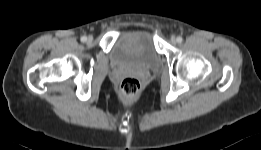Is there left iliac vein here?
Instances as JSON below:
<instances>
[{
	"instance_id": "obj_1",
	"label": "left iliac vein",
	"mask_w": 261,
	"mask_h": 150,
	"mask_svg": "<svg viewBox=\"0 0 261 150\" xmlns=\"http://www.w3.org/2000/svg\"><path fill=\"white\" fill-rule=\"evenodd\" d=\"M176 41H177L176 38H175L174 36H172V37H171V42H172V43H176Z\"/></svg>"
}]
</instances>
